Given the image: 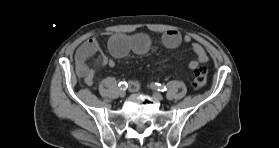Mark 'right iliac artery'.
<instances>
[{
  "label": "right iliac artery",
  "instance_id": "right-iliac-artery-1",
  "mask_svg": "<svg viewBox=\"0 0 279 148\" xmlns=\"http://www.w3.org/2000/svg\"><path fill=\"white\" fill-rule=\"evenodd\" d=\"M118 86L120 87V89L125 90L127 88V83L125 81H121Z\"/></svg>",
  "mask_w": 279,
  "mask_h": 148
}]
</instances>
